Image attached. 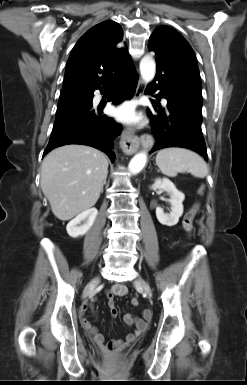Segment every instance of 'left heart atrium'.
Wrapping results in <instances>:
<instances>
[{"label": "left heart atrium", "instance_id": "39dd6f15", "mask_svg": "<svg viewBox=\"0 0 247 385\" xmlns=\"http://www.w3.org/2000/svg\"><path fill=\"white\" fill-rule=\"evenodd\" d=\"M112 113L115 117L125 122H136L139 120V116L131 104H124L114 109Z\"/></svg>", "mask_w": 247, "mask_h": 385}]
</instances>
